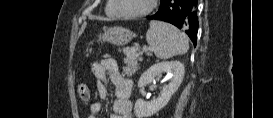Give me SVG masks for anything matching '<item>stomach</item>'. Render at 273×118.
Instances as JSON below:
<instances>
[{"mask_svg":"<svg viewBox=\"0 0 273 118\" xmlns=\"http://www.w3.org/2000/svg\"><path fill=\"white\" fill-rule=\"evenodd\" d=\"M134 37L135 34L133 32L123 27L109 28L99 35L100 40L117 45L127 44Z\"/></svg>","mask_w":273,"mask_h":118,"instance_id":"0dacf381","label":"stomach"}]
</instances>
